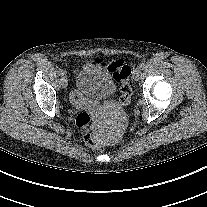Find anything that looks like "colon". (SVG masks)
Returning <instances> with one entry per match:
<instances>
[{"label": "colon", "instance_id": "1", "mask_svg": "<svg viewBox=\"0 0 207 207\" xmlns=\"http://www.w3.org/2000/svg\"><path fill=\"white\" fill-rule=\"evenodd\" d=\"M107 69L112 74L113 78L120 83L121 104L123 106H128L132 94V89L129 84V78L132 73L131 67L126 64L123 59L116 58L107 64ZM91 120V115L86 111H82L76 116L75 123L78 128L86 130L84 134L85 143L93 149L100 150L102 148L101 142L88 130Z\"/></svg>", "mask_w": 207, "mask_h": 207}]
</instances>
